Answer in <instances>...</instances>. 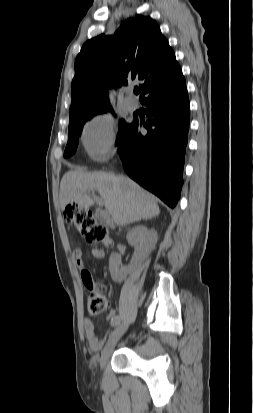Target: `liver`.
<instances>
[{"mask_svg": "<svg viewBox=\"0 0 253 413\" xmlns=\"http://www.w3.org/2000/svg\"><path fill=\"white\" fill-rule=\"evenodd\" d=\"M97 190L106 210L121 226L156 217L160 213L155 197L126 176L105 172H67L60 183L59 206L63 210L73 202L89 208L94 201L89 191Z\"/></svg>", "mask_w": 253, "mask_h": 413, "instance_id": "liver-1", "label": "liver"}]
</instances>
